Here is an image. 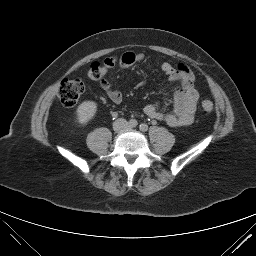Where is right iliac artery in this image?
<instances>
[{"label":"right iliac artery","instance_id":"right-iliac-artery-1","mask_svg":"<svg viewBox=\"0 0 256 256\" xmlns=\"http://www.w3.org/2000/svg\"><path fill=\"white\" fill-rule=\"evenodd\" d=\"M137 121L135 119H131L129 122H128V125L130 127H136L137 126Z\"/></svg>","mask_w":256,"mask_h":256}]
</instances>
